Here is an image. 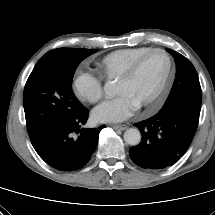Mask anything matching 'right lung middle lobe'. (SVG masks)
Returning <instances> with one entry per match:
<instances>
[{
    "mask_svg": "<svg viewBox=\"0 0 215 215\" xmlns=\"http://www.w3.org/2000/svg\"><path fill=\"white\" fill-rule=\"evenodd\" d=\"M97 50L59 48L47 52L35 65L25 88L23 105L30 139L77 115L85 107L72 90L78 65Z\"/></svg>",
    "mask_w": 215,
    "mask_h": 215,
    "instance_id": "right-lung-middle-lobe-1",
    "label": "right lung middle lobe"
}]
</instances>
